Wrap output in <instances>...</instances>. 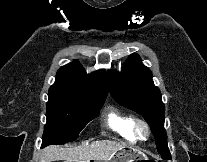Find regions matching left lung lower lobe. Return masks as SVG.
<instances>
[{
	"label": "left lung lower lobe",
	"instance_id": "0a47b994",
	"mask_svg": "<svg viewBox=\"0 0 207 162\" xmlns=\"http://www.w3.org/2000/svg\"><path fill=\"white\" fill-rule=\"evenodd\" d=\"M163 159L170 160L171 159V155H168L166 157H163Z\"/></svg>",
	"mask_w": 207,
	"mask_h": 162
}]
</instances>
